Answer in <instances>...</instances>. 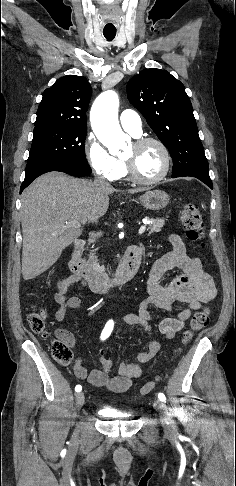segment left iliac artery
<instances>
[{"instance_id":"left-iliac-artery-1","label":"left iliac artery","mask_w":236,"mask_h":486,"mask_svg":"<svg viewBox=\"0 0 236 486\" xmlns=\"http://www.w3.org/2000/svg\"><path fill=\"white\" fill-rule=\"evenodd\" d=\"M158 398L162 401V402H165L166 401V397L163 393H159L158 394Z\"/></svg>"}]
</instances>
